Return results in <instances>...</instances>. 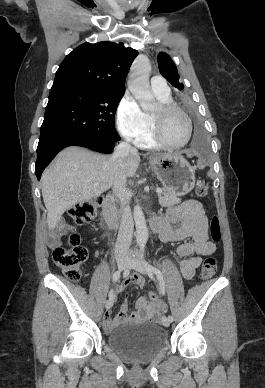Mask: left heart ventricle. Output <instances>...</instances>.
Here are the masks:
<instances>
[{
  "instance_id": "left-heart-ventricle-1",
  "label": "left heart ventricle",
  "mask_w": 265,
  "mask_h": 388,
  "mask_svg": "<svg viewBox=\"0 0 265 388\" xmlns=\"http://www.w3.org/2000/svg\"><path fill=\"white\" fill-rule=\"evenodd\" d=\"M152 114L157 116L161 134L168 143L177 145L184 141L185 122L179 112L174 110L162 112L159 110V106H157Z\"/></svg>"
}]
</instances>
